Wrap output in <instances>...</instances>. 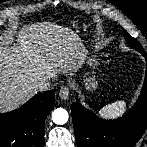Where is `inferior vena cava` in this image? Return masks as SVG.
<instances>
[{"label": "inferior vena cava", "instance_id": "602c4592", "mask_svg": "<svg viewBox=\"0 0 147 147\" xmlns=\"http://www.w3.org/2000/svg\"><path fill=\"white\" fill-rule=\"evenodd\" d=\"M51 84L47 77L40 78L37 82L34 83V88L40 91H46L50 88Z\"/></svg>", "mask_w": 147, "mask_h": 147}]
</instances>
